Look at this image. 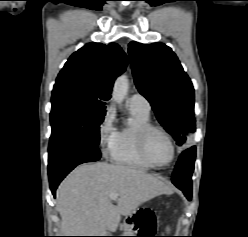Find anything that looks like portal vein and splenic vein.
I'll return each instance as SVG.
<instances>
[{
    "label": "portal vein and splenic vein",
    "mask_w": 248,
    "mask_h": 237,
    "mask_svg": "<svg viewBox=\"0 0 248 237\" xmlns=\"http://www.w3.org/2000/svg\"><path fill=\"white\" fill-rule=\"evenodd\" d=\"M109 198H110V200L115 201V200L118 199V195H117V194H111V195L109 196Z\"/></svg>",
    "instance_id": "obj_1"
}]
</instances>
